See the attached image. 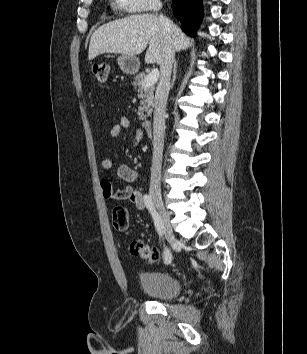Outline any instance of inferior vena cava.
<instances>
[{"instance_id": "1", "label": "inferior vena cava", "mask_w": 307, "mask_h": 354, "mask_svg": "<svg viewBox=\"0 0 307 354\" xmlns=\"http://www.w3.org/2000/svg\"><path fill=\"white\" fill-rule=\"evenodd\" d=\"M161 9L160 4H155V12ZM159 23L163 35V51L159 62L160 81L155 93V111L153 118V156L150 178V192L160 194L161 164L165 134V109L170 91V76L174 62V47L171 38V23L168 19L159 16Z\"/></svg>"}]
</instances>
